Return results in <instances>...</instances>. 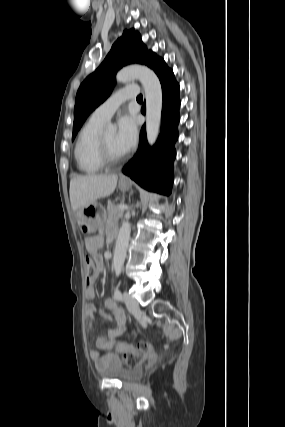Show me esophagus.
I'll return each instance as SVG.
<instances>
[{
	"instance_id": "1",
	"label": "esophagus",
	"mask_w": 285,
	"mask_h": 427,
	"mask_svg": "<svg viewBox=\"0 0 285 427\" xmlns=\"http://www.w3.org/2000/svg\"><path fill=\"white\" fill-rule=\"evenodd\" d=\"M120 179H121V180H127V177H125V176H121V177H120Z\"/></svg>"
}]
</instances>
